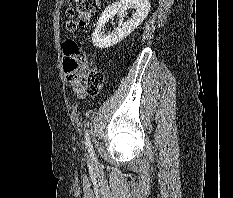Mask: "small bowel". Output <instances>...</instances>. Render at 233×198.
I'll return each instance as SVG.
<instances>
[{
  "instance_id": "1",
  "label": "small bowel",
  "mask_w": 233,
  "mask_h": 198,
  "mask_svg": "<svg viewBox=\"0 0 233 198\" xmlns=\"http://www.w3.org/2000/svg\"><path fill=\"white\" fill-rule=\"evenodd\" d=\"M77 95H78L79 98H84L85 97L84 93H78Z\"/></svg>"
}]
</instances>
